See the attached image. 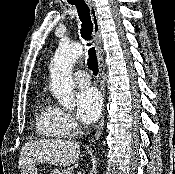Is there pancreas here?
Listing matches in <instances>:
<instances>
[{
    "label": "pancreas",
    "mask_w": 175,
    "mask_h": 174,
    "mask_svg": "<svg viewBox=\"0 0 175 174\" xmlns=\"http://www.w3.org/2000/svg\"><path fill=\"white\" fill-rule=\"evenodd\" d=\"M55 170H52L51 174H54ZM60 174H74V170L72 167H68L67 169H64L63 170V173H60Z\"/></svg>",
    "instance_id": "1"
}]
</instances>
